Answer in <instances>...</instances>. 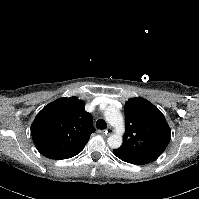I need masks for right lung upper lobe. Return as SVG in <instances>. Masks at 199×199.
Here are the masks:
<instances>
[{
    "label": "right lung upper lobe",
    "mask_w": 199,
    "mask_h": 199,
    "mask_svg": "<svg viewBox=\"0 0 199 199\" xmlns=\"http://www.w3.org/2000/svg\"><path fill=\"white\" fill-rule=\"evenodd\" d=\"M95 131L92 117L77 97L60 98L45 106L31 125L37 150L51 159H68L80 153Z\"/></svg>",
    "instance_id": "obj_1"
}]
</instances>
